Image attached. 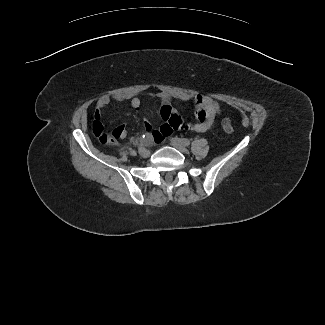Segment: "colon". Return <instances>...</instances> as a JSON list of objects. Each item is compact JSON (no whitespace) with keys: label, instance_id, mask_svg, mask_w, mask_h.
I'll use <instances>...</instances> for the list:
<instances>
[{"label":"colon","instance_id":"obj_1","mask_svg":"<svg viewBox=\"0 0 325 325\" xmlns=\"http://www.w3.org/2000/svg\"><path fill=\"white\" fill-rule=\"evenodd\" d=\"M223 129L227 133L233 132V126L229 119L223 120ZM93 133L102 144H113L119 138V132L117 130L108 131L105 130L100 121L95 120L93 122Z\"/></svg>","mask_w":325,"mask_h":325}]
</instances>
